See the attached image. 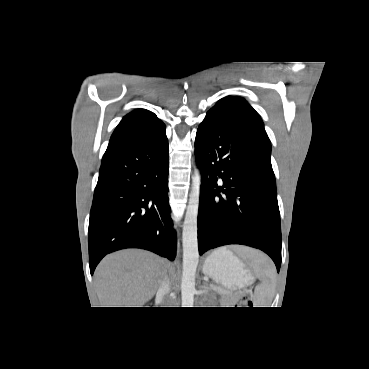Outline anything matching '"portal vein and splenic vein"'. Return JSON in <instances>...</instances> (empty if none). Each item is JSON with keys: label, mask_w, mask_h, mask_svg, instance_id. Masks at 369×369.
I'll return each instance as SVG.
<instances>
[{"label": "portal vein and splenic vein", "mask_w": 369, "mask_h": 369, "mask_svg": "<svg viewBox=\"0 0 369 369\" xmlns=\"http://www.w3.org/2000/svg\"><path fill=\"white\" fill-rule=\"evenodd\" d=\"M210 287H211L212 289H214V290H215V289H217L215 286H213V285H211V284H210Z\"/></svg>", "instance_id": "obj_1"}]
</instances>
